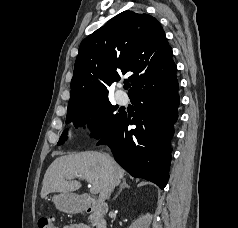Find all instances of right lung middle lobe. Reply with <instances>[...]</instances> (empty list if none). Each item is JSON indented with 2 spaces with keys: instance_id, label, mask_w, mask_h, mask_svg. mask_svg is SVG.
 <instances>
[{
  "instance_id": "right-lung-middle-lobe-1",
  "label": "right lung middle lobe",
  "mask_w": 238,
  "mask_h": 228,
  "mask_svg": "<svg viewBox=\"0 0 238 228\" xmlns=\"http://www.w3.org/2000/svg\"><path fill=\"white\" fill-rule=\"evenodd\" d=\"M116 106H113L108 100L93 103L86 106H68L67 122L73 121L76 127L83 126L95 113V121L97 122L94 127L92 137L101 138L109 132L115 123L120 119L122 113H116ZM68 131L65 130L60 137L58 145L64 143L67 139Z\"/></svg>"
}]
</instances>
